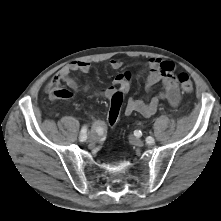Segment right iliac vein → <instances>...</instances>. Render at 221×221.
<instances>
[{
    "label": "right iliac vein",
    "mask_w": 221,
    "mask_h": 221,
    "mask_svg": "<svg viewBox=\"0 0 221 221\" xmlns=\"http://www.w3.org/2000/svg\"><path fill=\"white\" fill-rule=\"evenodd\" d=\"M96 140H97L96 134H95V133H90L89 136H88V141H89L90 143H93V142H95Z\"/></svg>",
    "instance_id": "obj_1"
}]
</instances>
